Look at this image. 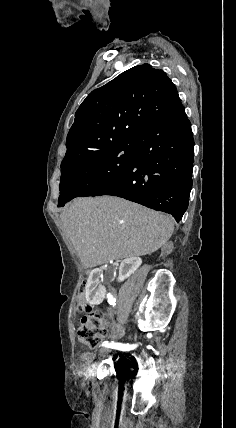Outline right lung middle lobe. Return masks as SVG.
I'll use <instances>...</instances> for the list:
<instances>
[{
  "mask_svg": "<svg viewBox=\"0 0 236 428\" xmlns=\"http://www.w3.org/2000/svg\"><path fill=\"white\" fill-rule=\"evenodd\" d=\"M136 141L119 142L61 169L58 207L75 197L92 196L110 184L135 157Z\"/></svg>",
  "mask_w": 236,
  "mask_h": 428,
  "instance_id": "dd1d6c3e",
  "label": "right lung middle lobe"
}]
</instances>
